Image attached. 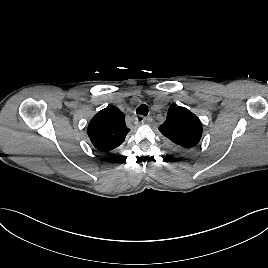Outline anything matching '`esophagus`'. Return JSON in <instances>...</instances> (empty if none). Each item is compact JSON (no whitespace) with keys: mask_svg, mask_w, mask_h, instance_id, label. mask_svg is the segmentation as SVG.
I'll list each match as a JSON object with an SVG mask.
<instances>
[{"mask_svg":"<svg viewBox=\"0 0 268 268\" xmlns=\"http://www.w3.org/2000/svg\"><path fill=\"white\" fill-rule=\"evenodd\" d=\"M149 119L144 117L143 115H139L137 118H136V121L140 124H144L145 122H147Z\"/></svg>","mask_w":268,"mask_h":268,"instance_id":"34e87169","label":"esophagus"}]
</instances>
